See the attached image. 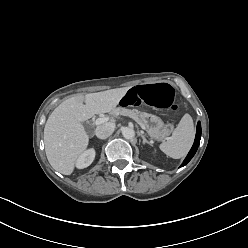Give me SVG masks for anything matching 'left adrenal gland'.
Returning a JSON list of instances; mask_svg holds the SVG:
<instances>
[{"label": "left adrenal gland", "mask_w": 248, "mask_h": 248, "mask_svg": "<svg viewBox=\"0 0 248 248\" xmlns=\"http://www.w3.org/2000/svg\"><path fill=\"white\" fill-rule=\"evenodd\" d=\"M141 137H142V139H143V144H149V145H151L152 146V143L151 142H149L146 138H145V136H144V134L143 133H141Z\"/></svg>", "instance_id": "obj_1"}]
</instances>
